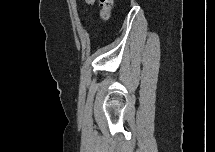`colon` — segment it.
Listing matches in <instances>:
<instances>
[{
	"mask_svg": "<svg viewBox=\"0 0 215 152\" xmlns=\"http://www.w3.org/2000/svg\"><path fill=\"white\" fill-rule=\"evenodd\" d=\"M90 2V0H88ZM114 1L113 0H100V10H99V17L102 22H106L110 18V12L113 7Z\"/></svg>",
	"mask_w": 215,
	"mask_h": 152,
	"instance_id": "obj_1",
	"label": "colon"
}]
</instances>
